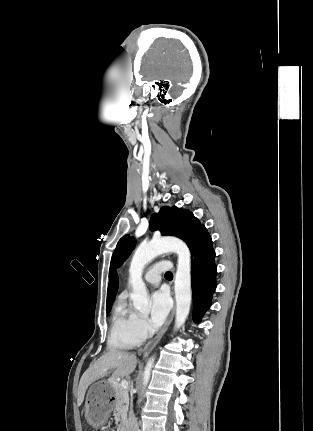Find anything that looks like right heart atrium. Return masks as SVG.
<instances>
[{
    "label": "right heart atrium",
    "instance_id": "obj_1",
    "mask_svg": "<svg viewBox=\"0 0 313 431\" xmlns=\"http://www.w3.org/2000/svg\"><path fill=\"white\" fill-rule=\"evenodd\" d=\"M134 326H135L136 333L141 338H145L150 332V327H149L147 321L145 320V318H143L142 316H140L138 314H136Z\"/></svg>",
    "mask_w": 313,
    "mask_h": 431
}]
</instances>
